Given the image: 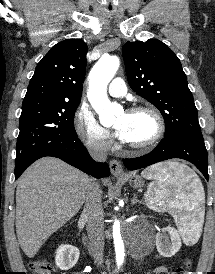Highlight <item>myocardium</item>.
<instances>
[{
    "label": "myocardium",
    "instance_id": "f54148a6",
    "mask_svg": "<svg viewBox=\"0 0 215 274\" xmlns=\"http://www.w3.org/2000/svg\"><path fill=\"white\" fill-rule=\"evenodd\" d=\"M137 112H145L150 114L156 124V130L154 135L145 142L142 143H128L125 142V145L129 148L137 151H146L156 145L164 136L166 131V124L162 114L151 105H135L127 110V113H137Z\"/></svg>",
    "mask_w": 215,
    "mask_h": 274
}]
</instances>
